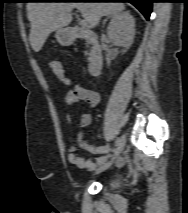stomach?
<instances>
[{
  "label": "stomach",
  "mask_w": 188,
  "mask_h": 213,
  "mask_svg": "<svg viewBox=\"0 0 188 213\" xmlns=\"http://www.w3.org/2000/svg\"><path fill=\"white\" fill-rule=\"evenodd\" d=\"M55 37L62 46H69L74 42V36L68 28L58 29L56 31Z\"/></svg>",
  "instance_id": "1"
}]
</instances>
